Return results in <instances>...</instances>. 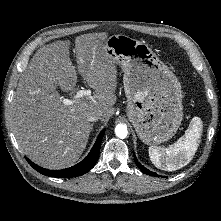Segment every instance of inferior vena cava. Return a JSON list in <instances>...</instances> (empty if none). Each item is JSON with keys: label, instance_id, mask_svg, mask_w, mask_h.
Here are the masks:
<instances>
[{"label": "inferior vena cava", "instance_id": "obj_1", "mask_svg": "<svg viewBox=\"0 0 221 221\" xmlns=\"http://www.w3.org/2000/svg\"><path fill=\"white\" fill-rule=\"evenodd\" d=\"M101 118V113L99 111H91L87 114V119L90 122L98 121Z\"/></svg>", "mask_w": 221, "mask_h": 221}]
</instances>
